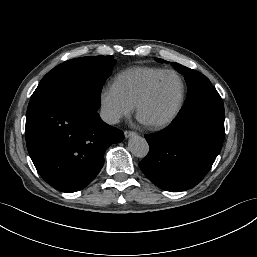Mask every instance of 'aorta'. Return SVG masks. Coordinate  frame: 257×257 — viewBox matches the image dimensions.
<instances>
[{"mask_svg": "<svg viewBox=\"0 0 257 257\" xmlns=\"http://www.w3.org/2000/svg\"><path fill=\"white\" fill-rule=\"evenodd\" d=\"M130 152L136 157H145L149 151L147 141L138 135H134L128 142Z\"/></svg>", "mask_w": 257, "mask_h": 257, "instance_id": "obj_1", "label": "aorta"}]
</instances>
